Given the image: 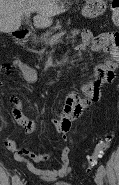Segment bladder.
<instances>
[{
    "label": "bladder",
    "instance_id": "bladder-1",
    "mask_svg": "<svg viewBox=\"0 0 119 185\" xmlns=\"http://www.w3.org/2000/svg\"><path fill=\"white\" fill-rule=\"evenodd\" d=\"M54 185H73V184H71L69 182L61 181V182L55 183Z\"/></svg>",
    "mask_w": 119,
    "mask_h": 185
}]
</instances>
